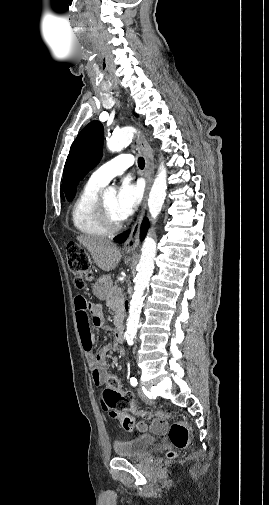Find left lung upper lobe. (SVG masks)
I'll return each mask as SVG.
<instances>
[{
    "instance_id": "5c2ea615",
    "label": "left lung upper lobe",
    "mask_w": 269,
    "mask_h": 505,
    "mask_svg": "<svg viewBox=\"0 0 269 505\" xmlns=\"http://www.w3.org/2000/svg\"><path fill=\"white\" fill-rule=\"evenodd\" d=\"M103 126L99 121L90 122L73 142L64 166V190L71 201L79 181L94 168L101 159Z\"/></svg>"
}]
</instances>
